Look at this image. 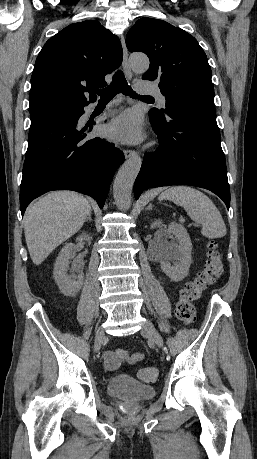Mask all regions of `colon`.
I'll return each mask as SVG.
<instances>
[{"mask_svg":"<svg viewBox=\"0 0 257 459\" xmlns=\"http://www.w3.org/2000/svg\"><path fill=\"white\" fill-rule=\"evenodd\" d=\"M223 271L222 253L216 241L208 243L207 261L198 276L185 284L179 294L175 314L185 324H192L196 319L194 301L201 293L220 277ZM158 376V369L146 367L139 371L138 377L144 382H153Z\"/></svg>","mask_w":257,"mask_h":459,"instance_id":"5ec220e1","label":"colon"}]
</instances>
